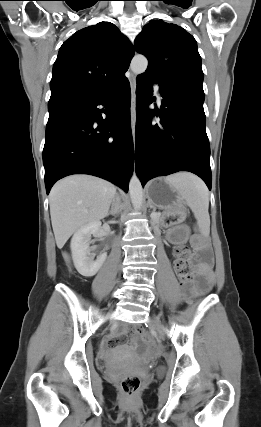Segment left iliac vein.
<instances>
[{
  "label": "left iliac vein",
  "instance_id": "4c4485c4",
  "mask_svg": "<svg viewBox=\"0 0 261 427\" xmlns=\"http://www.w3.org/2000/svg\"><path fill=\"white\" fill-rule=\"evenodd\" d=\"M153 323L156 326V328H157L158 332L160 333V335L164 336L165 335L164 327H163V325H162V323H161V321L159 320L158 317H154Z\"/></svg>",
  "mask_w": 261,
  "mask_h": 427
}]
</instances>
